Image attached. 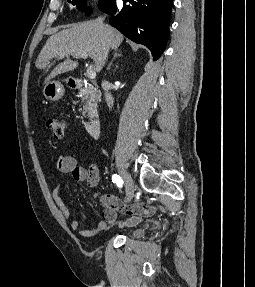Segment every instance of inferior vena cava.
Instances as JSON below:
<instances>
[{
  "instance_id": "inferior-vena-cava-1",
  "label": "inferior vena cava",
  "mask_w": 255,
  "mask_h": 287,
  "mask_svg": "<svg viewBox=\"0 0 255 287\" xmlns=\"http://www.w3.org/2000/svg\"><path fill=\"white\" fill-rule=\"evenodd\" d=\"M96 22H97V24H103V18H98V20H96ZM102 88L106 92V102H107L109 108H111V106H113V104H114V100H113L112 96H110V94H108V90H111L112 86H111V84H109V82H102Z\"/></svg>"
}]
</instances>
